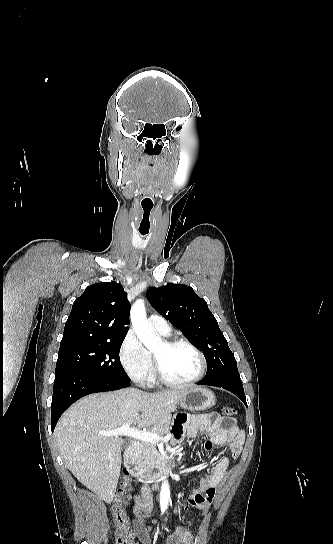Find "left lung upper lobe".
Wrapping results in <instances>:
<instances>
[{"instance_id": "5c2ea615", "label": "left lung upper lobe", "mask_w": 333, "mask_h": 544, "mask_svg": "<svg viewBox=\"0 0 333 544\" xmlns=\"http://www.w3.org/2000/svg\"><path fill=\"white\" fill-rule=\"evenodd\" d=\"M147 299L154 309L202 350L207 361L204 379L237 375V362L218 322L204 299L184 284L168 283L149 288Z\"/></svg>"}]
</instances>
